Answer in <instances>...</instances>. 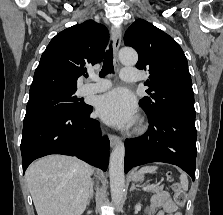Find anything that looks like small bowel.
I'll use <instances>...</instances> for the list:
<instances>
[{
  "instance_id": "c3829d8e",
  "label": "small bowel",
  "mask_w": 223,
  "mask_h": 215,
  "mask_svg": "<svg viewBox=\"0 0 223 215\" xmlns=\"http://www.w3.org/2000/svg\"><path fill=\"white\" fill-rule=\"evenodd\" d=\"M150 209H160L157 215H181L176 212V205L165 191H160L152 197Z\"/></svg>"
}]
</instances>
